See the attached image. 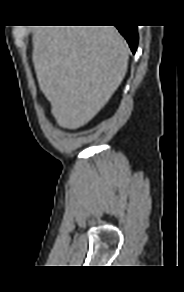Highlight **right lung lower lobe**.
Here are the masks:
<instances>
[{"instance_id":"obj_1","label":"right lung lower lobe","mask_w":184,"mask_h":292,"mask_svg":"<svg viewBox=\"0 0 184 292\" xmlns=\"http://www.w3.org/2000/svg\"><path fill=\"white\" fill-rule=\"evenodd\" d=\"M119 32L125 37L133 53H135L138 45V32L136 26L118 27Z\"/></svg>"}]
</instances>
